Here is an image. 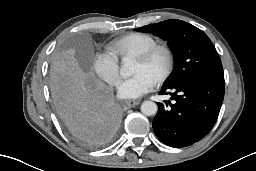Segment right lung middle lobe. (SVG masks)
<instances>
[{"label": "right lung middle lobe", "mask_w": 256, "mask_h": 171, "mask_svg": "<svg viewBox=\"0 0 256 171\" xmlns=\"http://www.w3.org/2000/svg\"><path fill=\"white\" fill-rule=\"evenodd\" d=\"M77 91L75 80L65 66L56 65L51 78V92L54 102L65 99Z\"/></svg>", "instance_id": "obj_1"}]
</instances>
